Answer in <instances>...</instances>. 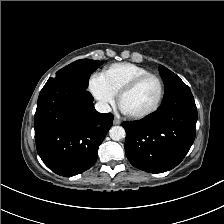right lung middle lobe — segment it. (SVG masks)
<instances>
[{"label":"right lung middle lobe","instance_id":"1","mask_svg":"<svg viewBox=\"0 0 224 224\" xmlns=\"http://www.w3.org/2000/svg\"><path fill=\"white\" fill-rule=\"evenodd\" d=\"M102 64L98 60L81 59L56 72L50 82H65L75 87L87 89L90 75Z\"/></svg>","mask_w":224,"mask_h":224}]
</instances>
